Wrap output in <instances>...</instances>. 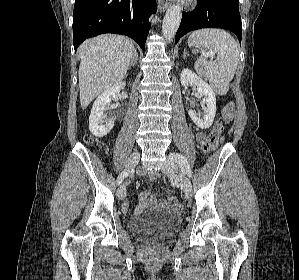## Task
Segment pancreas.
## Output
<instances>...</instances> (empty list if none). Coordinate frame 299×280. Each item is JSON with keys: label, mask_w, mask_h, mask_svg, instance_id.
Wrapping results in <instances>:
<instances>
[{"label": "pancreas", "mask_w": 299, "mask_h": 280, "mask_svg": "<svg viewBox=\"0 0 299 280\" xmlns=\"http://www.w3.org/2000/svg\"><path fill=\"white\" fill-rule=\"evenodd\" d=\"M197 72L201 75L204 76V71L202 68L199 67V65H197Z\"/></svg>", "instance_id": "1"}]
</instances>
